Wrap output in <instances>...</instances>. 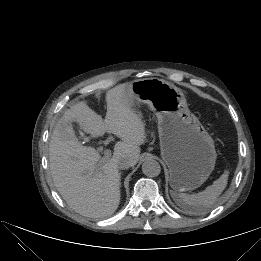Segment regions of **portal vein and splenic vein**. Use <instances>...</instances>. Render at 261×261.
<instances>
[{
	"instance_id": "portal-vein-and-splenic-vein-1",
	"label": "portal vein and splenic vein",
	"mask_w": 261,
	"mask_h": 261,
	"mask_svg": "<svg viewBox=\"0 0 261 261\" xmlns=\"http://www.w3.org/2000/svg\"><path fill=\"white\" fill-rule=\"evenodd\" d=\"M105 159H108L111 156V151L109 149H106L104 151Z\"/></svg>"
}]
</instances>
